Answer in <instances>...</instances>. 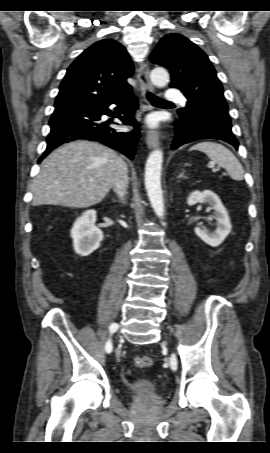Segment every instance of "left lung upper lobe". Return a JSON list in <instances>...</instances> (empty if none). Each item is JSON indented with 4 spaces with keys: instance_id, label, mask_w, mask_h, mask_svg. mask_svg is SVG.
I'll return each instance as SVG.
<instances>
[{
    "instance_id": "obj_1",
    "label": "left lung upper lobe",
    "mask_w": 270,
    "mask_h": 453,
    "mask_svg": "<svg viewBox=\"0 0 270 453\" xmlns=\"http://www.w3.org/2000/svg\"><path fill=\"white\" fill-rule=\"evenodd\" d=\"M150 60L170 71L173 81L170 86L180 89L188 99L186 107L178 109L179 116L199 110L231 128L223 87L208 56L199 47L180 34H168L160 40Z\"/></svg>"
}]
</instances>
